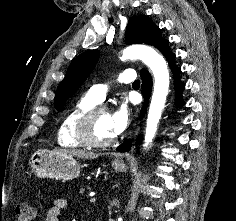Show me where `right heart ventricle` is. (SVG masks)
<instances>
[{
    "label": "right heart ventricle",
    "instance_id": "right-heart-ventricle-1",
    "mask_svg": "<svg viewBox=\"0 0 236 221\" xmlns=\"http://www.w3.org/2000/svg\"><path fill=\"white\" fill-rule=\"evenodd\" d=\"M98 102L94 101L88 94L79 98L74 105L63 116L58 130H57V142L58 145L65 149H80L84 148L76 137L77 124L81 117L95 107Z\"/></svg>",
    "mask_w": 236,
    "mask_h": 221
}]
</instances>
